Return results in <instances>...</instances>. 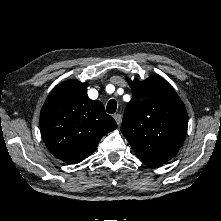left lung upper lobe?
<instances>
[{"instance_id":"obj_1","label":"left lung upper lobe","mask_w":221,"mask_h":221,"mask_svg":"<svg viewBox=\"0 0 221 221\" xmlns=\"http://www.w3.org/2000/svg\"><path fill=\"white\" fill-rule=\"evenodd\" d=\"M132 99L123 116L121 132L138 159L165 164L185 139L188 118L175 90L161 76L130 80Z\"/></svg>"}]
</instances>
